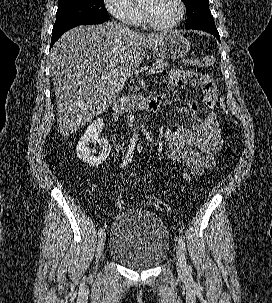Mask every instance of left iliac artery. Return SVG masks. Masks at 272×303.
Wrapping results in <instances>:
<instances>
[{
	"mask_svg": "<svg viewBox=\"0 0 272 303\" xmlns=\"http://www.w3.org/2000/svg\"><path fill=\"white\" fill-rule=\"evenodd\" d=\"M178 243L182 246V248L185 250V242L184 239L182 238V236H179L178 238Z\"/></svg>",
	"mask_w": 272,
	"mask_h": 303,
	"instance_id": "1",
	"label": "left iliac artery"
}]
</instances>
